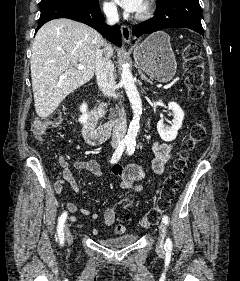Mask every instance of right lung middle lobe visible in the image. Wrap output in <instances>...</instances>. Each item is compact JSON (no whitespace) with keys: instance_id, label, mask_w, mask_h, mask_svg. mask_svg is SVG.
<instances>
[{"instance_id":"obj_1","label":"right lung middle lobe","mask_w":240,"mask_h":281,"mask_svg":"<svg viewBox=\"0 0 240 281\" xmlns=\"http://www.w3.org/2000/svg\"><path fill=\"white\" fill-rule=\"evenodd\" d=\"M56 2H73L82 5H91L94 6L98 3V0H41L40 8H43L47 5L56 3Z\"/></svg>"}]
</instances>
